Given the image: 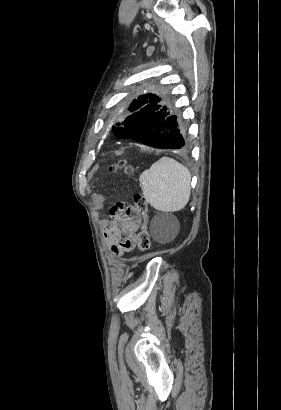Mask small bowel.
Returning <instances> with one entry per match:
<instances>
[{
  "label": "small bowel",
  "instance_id": "c3829d8e",
  "mask_svg": "<svg viewBox=\"0 0 281 410\" xmlns=\"http://www.w3.org/2000/svg\"><path fill=\"white\" fill-rule=\"evenodd\" d=\"M103 230L105 242L114 256H123L134 249L136 231L141 219L136 213L130 216H112Z\"/></svg>",
  "mask_w": 281,
  "mask_h": 410
}]
</instances>
